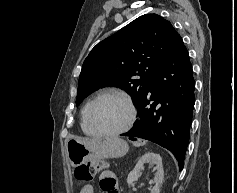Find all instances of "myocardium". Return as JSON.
Returning a JSON list of instances; mask_svg holds the SVG:
<instances>
[{
    "mask_svg": "<svg viewBox=\"0 0 237 193\" xmlns=\"http://www.w3.org/2000/svg\"><path fill=\"white\" fill-rule=\"evenodd\" d=\"M104 97H114L119 99L120 101H122L125 106L128 108L129 111V118L127 123L125 124V126H123L120 129L114 130V131H103L100 130L96 127V125L94 124L93 120H92V110L94 105L101 99ZM136 117H137V110L135 105L133 104V102L124 94L119 93V92H115V91H105L102 92L100 94H98L88 105L87 108V121L89 126L92 128V130L100 136H105V137H113V136H119L122 135L126 132H128L134 125L135 121H136Z\"/></svg>",
    "mask_w": 237,
    "mask_h": 193,
    "instance_id": "f54148a6",
    "label": "myocardium"
}]
</instances>
